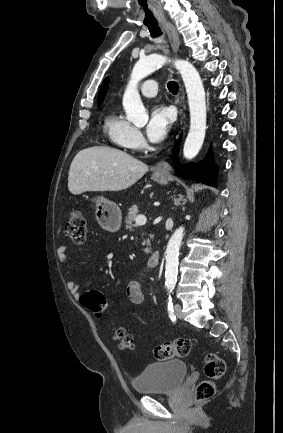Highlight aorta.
Segmentation results:
<instances>
[{
    "label": "aorta",
    "mask_w": 283,
    "mask_h": 433,
    "mask_svg": "<svg viewBox=\"0 0 283 433\" xmlns=\"http://www.w3.org/2000/svg\"><path fill=\"white\" fill-rule=\"evenodd\" d=\"M167 61L165 56L151 54L141 58L134 66L130 81L123 95V107L127 120L136 126H144L148 121L147 111L141 101L138 84L146 76L162 67ZM185 84L189 111L190 129L186 137L183 154L186 159L194 158L200 151L206 133V99L201 77L196 68L186 60L173 61ZM184 236V228L179 227L170 238L166 249L165 285L173 288L178 272L179 247Z\"/></svg>",
    "instance_id": "762f6f07"
}]
</instances>
